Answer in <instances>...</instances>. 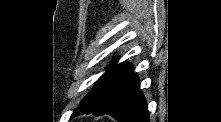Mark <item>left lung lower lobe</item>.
Returning a JSON list of instances; mask_svg holds the SVG:
<instances>
[{"label": "left lung lower lobe", "mask_w": 221, "mask_h": 122, "mask_svg": "<svg viewBox=\"0 0 221 122\" xmlns=\"http://www.w3.org/2000/svg\"><path fill=\"white\" fill-rule=\"evenodd\" d=\"M82 113L110 115L122 122H149L144 95L133 67L121 63L109 74L98 90L71 117Z\"/></svg>", "instance_id": "obj_1"}]
</instances>
